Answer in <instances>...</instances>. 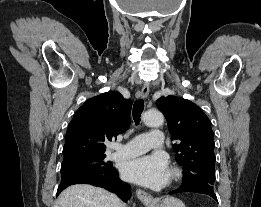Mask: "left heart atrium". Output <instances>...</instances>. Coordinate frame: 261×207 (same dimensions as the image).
<instances>
[{"instance_id":"obj_1","label":"left heart atrium","mask_w":261,"mask_h":207,"mask_svg":"<svg viewBox=\"0 0 261 207\" xmlns=\"http://www.w3.org/2000/svg\"><path fill=\"white\" fill-rule=\"evenodd\" d=\"M123 177L133 183L158 188L168 178V162L162 154L144 155L127 161L122 168Z\"/></svg>"}]
</instances>
